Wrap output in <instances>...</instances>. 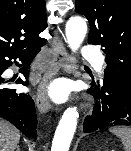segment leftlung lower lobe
Returning <instances> with one entry per match:
<instances>
[{
	"mask_svg": "<svg viewBox=\"0 0 131 151\" xmlns=\"http://www.w3.org/2000/svg\"><path fill=\"white\" fill-rule=\"evenodd\" d=\"M96 100L91 116L84 121V132H94L111 126H131V84L106 78L93 81L88 90Z\"/></svg>",
	"mask_w": 131,
	"mask_h": 151,
	"instance_id": "obj_1",
	"label": "left lung lower lobe"
}]
</instances>
